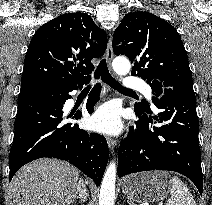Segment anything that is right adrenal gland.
<instances>
[{
    "label": "right adrenal gland",
    "instance_id": "right-adrenal-gland-1",
    "mask_svg": "<svg viewBox=\"0 0 212 205\" xmlns=\"http://www.w3.org/2000/svg\"><path fill=\"white\" fill-rule=\"evenodd\" d=\"M76 198L79 199L80 203H84L87 199V190L85 188V184L83 183L82 180H79L77 190L75 192L74 200Z\"/></svg>",
    "mask_w": 212,
    "mask_h": 205
}]
</instances>
